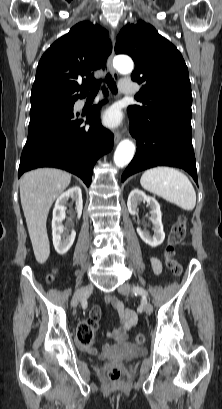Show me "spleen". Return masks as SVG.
<instances>
[{"label":"spleen","mask_w":222,"mask_h":409,"mask_svg":"<svg viewBox=\"0 0 222 409\" xmlns=\"http://www.w3.org/2000/svg\"><path fill=\"white\" fill-rule=\"evenodd\" d=\"M141 186L183 210L191 211L196 205V193L188 177L171 167H156L145 171Z\"/></svg>","instance_id":"spleen-1"}]
</instances>
